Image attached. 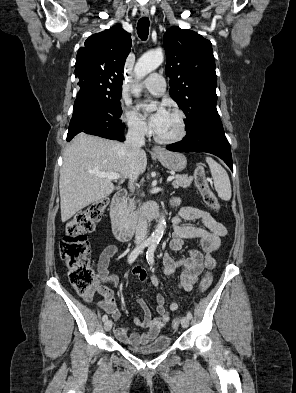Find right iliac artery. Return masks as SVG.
I'll return each mask as SVG.
<instances>
[{
  "mask_svg": "<svg viewBox=\"0 0 296 393\" xmlns=\"http://www.w3.org/2000/svg\"><path fill=\"white\" fill-rule=\"evenodd\" d=\"M150 244H151L150 241H145V242H143L141 245H139L138 247H136V248L131 252V254L129 255L128 262H129L130 264L133 263V262L136 260V258L138 257L139 253H140L145 247H148ZM107 319H108V316H107L106 314L103 315L102 320H103V321H106Z\"/></svg>",
  "mask_w": 296,
  "mask_h": 393,
  "instance_id": "1",
  "label": "right iliac artery"
}]
</instances>
